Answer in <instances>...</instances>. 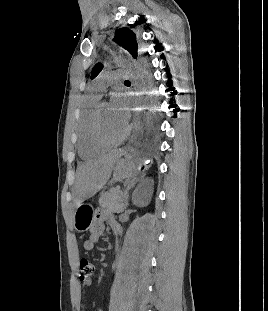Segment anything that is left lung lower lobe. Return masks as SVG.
I'll list each match as a JSON object with an SVG mask.
<instances>
[{"instance_id":"obj_1","label":"left lung lower lobe","mask_w":268,"mask_h":311,"mask_svg":"<svg viewBox=\"0 0 268 311\" xmlns=\"http://www.w3.org/2000/svg\"><path fill=\"white\" fill-rule=\"evenodd\" d=\"M141 71L144 73L148 81H151V74L149 70V63L145 59H141L140 62ZM157 125V113L149 116L147 121V128L149 131H153ZM147 139L150 141H155L156 139H160V132H147Z\"/></svg>"}]
</instances>
